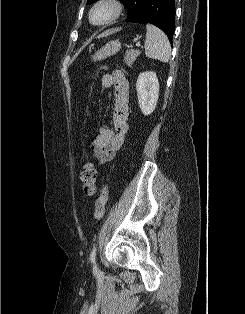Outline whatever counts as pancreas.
Masks as SVG:
<instances>
[{"mask_svg":"<svg viewBox=\"0 0 245 314\" xmlns=\"http://www.w3.org/2000/svg\"><path fill=\"white\" fill-rule=\"evenodd\" d=\"M139 51L137 50H128L126 52V56L124 57V62L125 64L132 68L134 61L136 60V58L139 56Z\"/></svg>","mask_w":245,"mask_h":314,"instance_id":"pancreas-1","label":"pancreas"}]
</instances>
